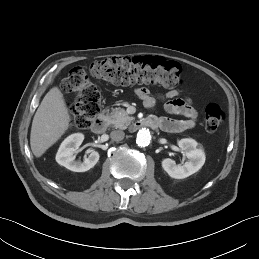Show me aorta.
Wrapping results in <instances>:
<instances>
[{"instance_id": "762f6f07", "label": "aorta", "mask_w": 259, "mask_h": 259, "mask_svg": "<svg viewBox=\"0 0 259 259\" xmlns=\"http://www.w3.org/2000/svg\"><path fill=\"white\" fill-rule=\"evenodd\" d=\"M151 141V133L146 128H141L136 137V143L138 146L145 147L148 146Z\"/></svg>"}]
</instances>
